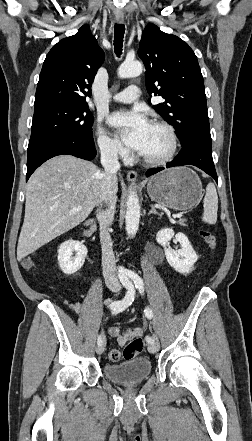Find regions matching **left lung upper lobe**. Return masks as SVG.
<instances>
[{"label":"left lung upper lobe","instance_id":"left-lung-upper-lobe-1","mask_svg":"<svg viewBox=\"0 0 252 441\" xmlns=\"http://www.w3.org/2000/svg\"><path fill=\"white\" fill-rule=\"evenodd\" d=\"M139 47L147 91L165 99L153 108L174 126L181 144L197 135L211 137L203 76L193 50L152 23L146 26Z\"/></svg>","mask_w":252,"mask_h":441}]
</instances>
